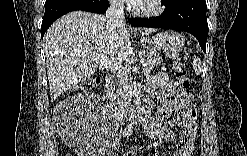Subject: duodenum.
Returning <instances> with one entry per match:
<instances>
[{
	"label": "duodenum",
	"instance_id": "410a0bca",
	"mask_svg": "<svg viewBox=\"0 0 247 156\" xmlns=\"http://www.w3.org/2000/svg\"><path fill=\"white\" fill-rule=\"evenodd\" d=\"M105 82H106L107 91H110L111 87H112V78L110 76H108L105 79ZM120 108H121V101L120 100L117 99V100L112 102L111 109L116 115L120 114ZM127 111L129 113V115H134V117L138 121H145V120H148L150 118L149 110L146 107H140V106L136 105L134 102H130L127 105Z\"/></svg>",
	"mask_w": 247,
	"mask_h": 156
}]
</instances>
